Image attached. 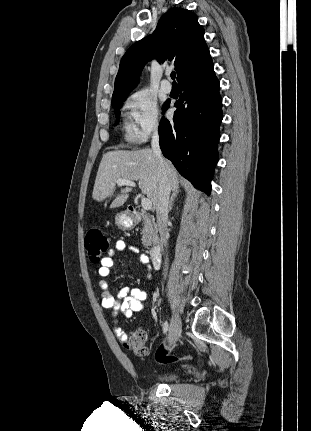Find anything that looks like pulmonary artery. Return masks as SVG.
<instances>
[{
    "label": "pulmonary artery",
    "mask_w": 311,
    "mask_h": 431,
    "mask_svg": "<svg viewBox=\"0 0 311 431\" xmlns=\"http://www.w3.org/2000/svg\"><path fill=\"white\" fill-rule=\"evenodd\" d=\"M161 89L164 93L170 94L172 92V85L167 79H163L161 83Z\"/></svg>",
    "instance_id": "obj_1"
}]
</instances>
